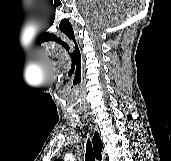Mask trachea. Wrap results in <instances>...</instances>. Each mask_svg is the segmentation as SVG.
Masks as SVG:
<instances>
[{
  "instance_id": "obj_1",
  "label": "trachea",
  "mask_w": 171,
  "mask_h": 161,
  "mask_svg": "<svg viewBox=\"0 0 171 161\" xmlns=\"http://www.w3.org/2000/svg\"><path fill=\"white\" fill-rule=\"evenodd\" d=\"M85 161H95V157H94V153L92 150V145H91L90 139L87 140V144H86Z\"/></svg>"
}]
</instances>
